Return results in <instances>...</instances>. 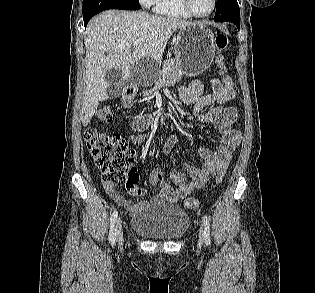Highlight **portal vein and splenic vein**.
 Masks as SVG:
<instances>
[{
  "label": "portal vein and splenic vein",
  "instance_id": "1",
  "mask_svg": "<svg viewBox=\"0 0 315 293\" xmlns=\"http://www.w3.org/2000/svg\"><path fill=\"white\" fill-rule=\"evenodd\" d=\"M139 44V41L134 42V46H137Z\"/></svg>",
  "mask_w": 315,
  "mask_h": 293
}]
</instances>
